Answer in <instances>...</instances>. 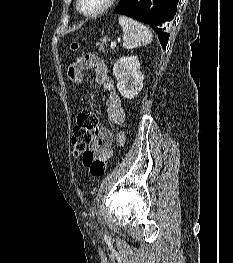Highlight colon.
Masks as SVG:
<instances>
[{"mask_svg": "<svg viewBox=\"0 0 233 263\" xmlns=\"http://www.w3.org/2000/svg\"><path fill=\"white\" fill-rule=\"evenodd\" d=\"M76 48L77 44H73V49ZM97 129V116L92 111L83 110L77 116V123L72 134L74 153L83 156L84 164L89 167L93 177L103 176L107 169V161L94 159L90 150Z\"/></svg>", "mask_w": 233, "mask_h": 263, "instance_id": "1", "label": "colon"}]
</instances>
